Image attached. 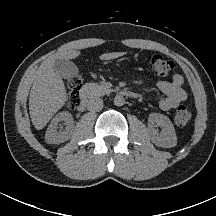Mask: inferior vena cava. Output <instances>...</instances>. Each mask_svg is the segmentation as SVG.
I'll list each match as a JSON object with an SVG mask.
<instances>
[{"mask_svg":"<svg viewBox=\"0 0 216 216\" xmlns=\"http://www.w3.org/2000/svg\"><path fill=\"white\" fill-rule=\"evenodd\" d=\"M87 108L90 111H100L103 108V100L99 97H93L88 100Z\"/></svg>","mask_w":216,"mask_h":216,"instance_id":"obj_1","label":"inferior vena cava"}]
</instances>
